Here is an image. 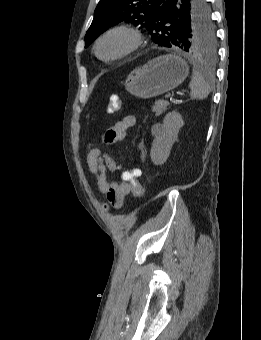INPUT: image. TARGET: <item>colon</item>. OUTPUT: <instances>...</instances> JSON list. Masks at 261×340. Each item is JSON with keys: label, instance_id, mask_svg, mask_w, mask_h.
I'll list each match as a JSON object with an SVG mask.
<instances>
[{"label": "colon", "instance_id": "colon-1", "mask_svg": "<svg viewBox=\"0 0 261 340\" xmlns=\"http://www.w3.org/2000/svg\"><path fill=\"white\" fill-rule=\"evenodd\" d=\"M122 107L121 100L112 95L108 102V112L113 113L119 111ZM140 171L137 169L126 170L122 174V178L130 185L131 192L138 197H142L146 193V187L139 181Z\"/></svg>", "mask_w": 261, "mask_h": 340}]
</instances>
